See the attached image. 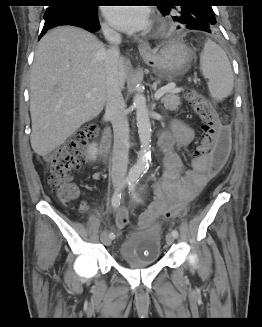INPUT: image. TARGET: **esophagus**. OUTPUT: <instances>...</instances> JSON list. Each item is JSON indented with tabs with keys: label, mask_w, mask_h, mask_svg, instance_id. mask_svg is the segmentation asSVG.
<instances>
[{
	"label": "esophagus",
	"mask_w": 262,
	"mask_h": 327,
	"mask_svg": "<svg viewBox=\"0 0 262 327\" xmlns=\"http://www.w3.org/2000/svg\"><path fill=\"white\" fill-rule=\"evenodd\" d=\"M138 49H139L140 55L143 56V57L144 56H151L153 54L150 45L145 41L139 43Z\"/></svg>",
	"instance_id": "1"
}]
</instances>
